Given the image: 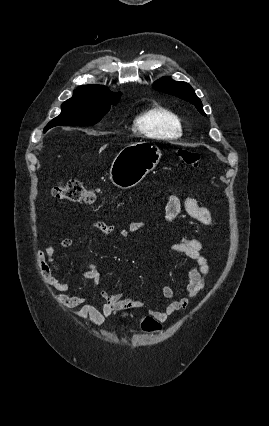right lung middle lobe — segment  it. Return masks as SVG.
<instances>
[{"instance_id": "right-lung-middle-lobe-1", "label": "right lung middle lobe", "mask_w": 269, "mask_h": 426, "mask_svg": "<svg viewBox=\"0 0 269 426\" xmlns=\"http://www.w3.org/2000/svg\"><path fill=\"white\" fill-rule=\"evenodd\" d=\"M119 99L73 95L72 98L62 104L61 114L49 122L46 127L59 125H94L109 111L110 105H116Z\"/></svg>"}]
</instances>
